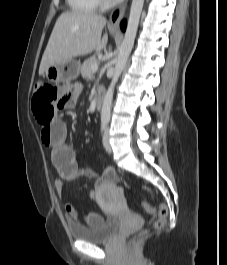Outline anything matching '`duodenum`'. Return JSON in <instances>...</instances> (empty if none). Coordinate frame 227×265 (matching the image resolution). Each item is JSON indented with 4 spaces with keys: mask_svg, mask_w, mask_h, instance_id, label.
Masks as SVG:
<instances>
[{
    "mask_svg": "<svg viewBox=\"0 0 227 265\" xmlns=\"http://www.w3.org/2000/svg\"><path fill=\"white\" fill-rule=\"evenodd\" d=\"M103 100H104V92L103 90L100 88L97 91L96 97H95V108L96 110H101L102 105H103Z\"/></svg>",
    "mask_w": 227,
    "mask_h": 265,
    "instance_id": "duodenum-1",
    "label": "duodenum"
}]
</instances>
